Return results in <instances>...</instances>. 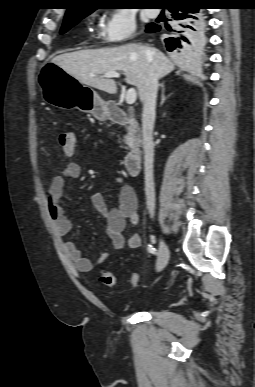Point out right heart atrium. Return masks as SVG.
<instances>
[{
  "instance_id": "obj_1",
  "label": "right heart atrium",
  "mask_w": 255,
  "mask_h": 387,
  "mask_svg": "<svg viewBox=\"0 0 255 387\" xmlns=\"http://www.w3.org/2000/svg\"><path fill=\"white\" fill-rule=\"evenodd\" d=\"M136 31V21L129 9H114L102 22L99 36L105 43H119L129 40Z\"/></svg>"
}]
</instances>
